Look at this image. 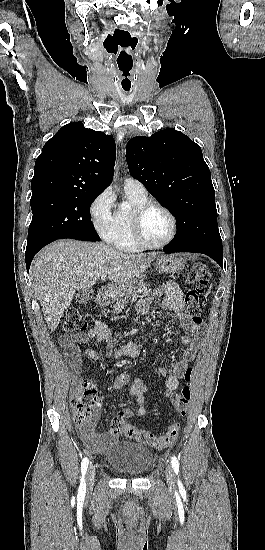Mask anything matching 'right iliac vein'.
Segmentation results:
<instances>
[{"label": "right iliac vein", "instance_id": "63e3f726", "mask_svg": "<svg viewBox=\"0 0 265 550\" xmlns=\"http://www.w3.org/2000/svg\"><path fill=\"white\" fill-rule=\"evenodd\" d=\"M86 479H87V483L90 487L93 486L94 484V479H95V468L93 466H90L87 470V474H86Z\"/></svg>", "mask_w": 265, "mask_h": 550}]
</instances>
